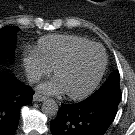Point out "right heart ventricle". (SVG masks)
Listing matches in <instances>:
<instances>
[{
	"mask_svg": "<svg viewBox=\"0 0 135 135\" xmlns=\"http://www.w3.org/2000/svg\"><path fill=\"white\" fill-rule=\"evenodd\" d=\"M89 43L92 42L83 37L53 34L41 37L35 51L48 67H54L59 60L67 56L74 49Z\"/></svg>",
	"mask_w": 135,
	"mask_h": 135,
	"instance_id": "right-heart-ventricle-1",
	"label": "right heart ventricle"
}]
</instances>
